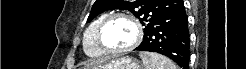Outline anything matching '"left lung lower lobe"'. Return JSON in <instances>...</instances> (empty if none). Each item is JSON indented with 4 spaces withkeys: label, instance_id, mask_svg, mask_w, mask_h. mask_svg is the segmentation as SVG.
I'll list each match as a JSON object with an SVG mask.
<instances>
[{
    "label": "left lung lower lobe",
    "instance_id": "0a47b994",
    "mask_svg": "<svg viewBox=\"0 0 246 69\" xmlns=\"http://www.w3.org/2000/svg\"><path fill=\"white\" fill-rule=\"evenodd\" d=\"M190 38L188 18L179 0L161 19L144 30L138 51L156 52L174 60L182 69L189 68Z\"/></svg>",
    "mask_w": 246,
    "mask_h": 69
}]
</instances>
